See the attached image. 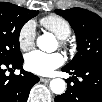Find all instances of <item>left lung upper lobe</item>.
Wrapping results in <instances>:
<instances>
[{
	"mask_svg": "<svg viewBox=\"0 0 102 102\" xmlns=\"http://www.w3.org/2000/svg\"><path fill=\"white\" fill-rule=\"evenodd\" d=\"M75 31L78 53L66 68L78 65L102 64V19L82 8L55 10Z\"/></svg>",
	"mask_w": 102,
	"mask_h": 102,
	"instance_id": "left-lung-upper-lobe-1",
	"label": "left lung upper lobe"
}]
</instances>
